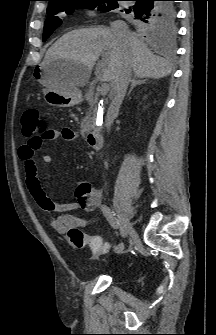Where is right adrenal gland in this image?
<instances>
[{
	"instance_id": "right-adrenal-gland-1",
	"label": "right adrenal gland",
	"mask_w": 216,
	"mask_h": 335,
	"mask_svg": "<svg viewBox=\"0 0 216 335\" xmlns=\"http://www.w3.org/2000/svg\"><path fill=\"white\" fill-rule=\"evenodd\" d=\"M146 81H147V78L134 76L133 79L131 80V87H130L128 93H127V96L130 95V93L132 92L134 87H136L137 85H140L142 83H145Z\"/></svg>"
}]
</instances>
